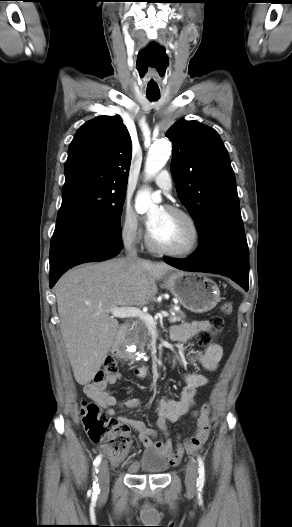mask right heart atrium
Wrapping results in <instances>:
<instances>
[{"mask_svg":"<svg viewBox=\"0 0 292 527\" xmlns=\"http://www.w3.org/2000/svg\"><path fill=\"white\" fill-rule=\"evenodd\" d=\"M141 233L139 219L135 211L125 205L121 215V236L125 242L134 243Z\"/></svg>","mask_w":292,"mask_h":527,"instance_id":"right-heart-atrium-1","label":"right heart atrium"}]
</instances>
